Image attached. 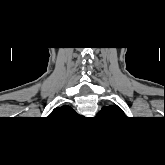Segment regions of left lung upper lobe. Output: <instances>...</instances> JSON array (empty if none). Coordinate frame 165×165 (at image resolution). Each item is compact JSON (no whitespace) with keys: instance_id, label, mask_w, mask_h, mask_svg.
<instances>
[{"instance_id":"obj_1","label":"left lung upper lobe","mask_w":165,"mask_h":165,"mask_svg":"<svg viewBox=\"0 0 165 165\" xmlns=\"http://www.w3.org/2000/svg\"><path fill=\"white\" fill-rule=\"evenodd\" d=\"M102 114L106 115H117V116H123L125 115L124 112L121 110V108L117 105H110V106H104L102 110L100 111Z\"/></svg>"}]
</instances>
